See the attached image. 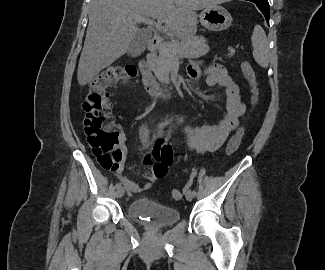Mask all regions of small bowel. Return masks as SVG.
Here are the masks:
<instances>
[{"label": "small bowel", "mask_w": 325, "mask_h": 270, "mask_svg": "<svg viewBox=\"0 0 325 270\" xmlns=\"http://www.w3.org/2000/svg\"><path fill=\"white\" fill-rule=\"evenodd\" d=\"M188 74L192 79H198L206 75V83L208 86L225 88L226 112L223 118L214 124L191 127L184 125L183 120H176L173 122L172 127L182 126L181 133L185 139L183 148L197 153L214 152L239 125L246 113V106L241 99L237 84L233 82L224 67L220 64H194L190 66ZM119 140L118 150L121 153L119 166L105 169L113 170L118 173L119 180L131 194L149 190L154 182L166 175L169 166L173 162V154L170 147L163 141L157 142L154 145L153 151L144 156V164L149 169L145 173L147 182L144 185H139L122 175L121 172L124 169L127 148L125 145L126 135L121 127Z\"/></svg>", "instance_id": "obj_1"}]
</instances>
